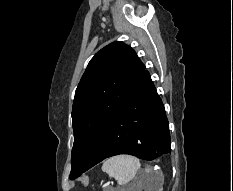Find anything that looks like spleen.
Instances as JSON below:
<instances>
[{
  "instance_id": "1",
  "label": "spleen",
  "mask_w": 233,
  "mask_h": 191,
  "mask_svg": "<svg viewBox=\"0 0 233 191\" xmlns=\"http://www.w3.org/2000/svg\"><path fill=\"white\" fill-rule=\"evenodd\" d=\"M139 169V159L131 155L114 156L106 160L102 166L103 172L113 177L119 185H125L130 182L136 176Z\"/></svg>"
}]
</instances>
